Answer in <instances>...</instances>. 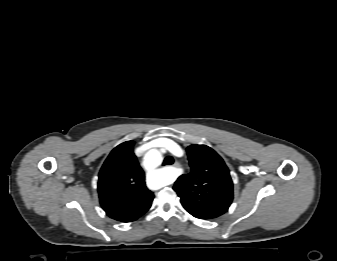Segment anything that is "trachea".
Returning <instances> with one entry per match:
<instances>
[{
  "mask_svg": "<svg viewBox=\"0 0 337 261\" xmlns=\"http://www.w3.org/2000/svg\"><path fill=\"white\" fill-rule=\"evenodd\" d=\"M174 163V159L171 156H167L164 159L163 165H171Z\"/></svg>",
  "mask_w": 337,
  "mask_h": 261,
  "instance_id": "1",
  "label": "trachea"
}]
</instances>
